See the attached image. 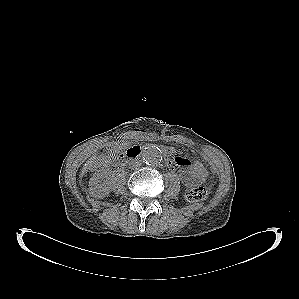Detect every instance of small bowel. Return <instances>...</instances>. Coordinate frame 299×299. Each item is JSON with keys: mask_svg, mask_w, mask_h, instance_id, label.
Wrapping results in <instances>:
<instances>
[{"mask_svg": "<svg viewBox=\"0 0 299 299\" xmlns=\"http://www.w3.org/2000/svg\"><path fill=\"white\" fill-rule=\"evenodd\" d=\"M116 152V149H111L110 154L113 155ZM176 164L179 167L180 176L183 181V183L186 186H192L196 183L192 170H191V164L190 161L182 156H176L174 158V161L172 163Z\"/></svg>", "mask_w": 299, "mask_h": 299, "instance_id": "c3829d8e", "label": "small bowel"}]
</instances>
